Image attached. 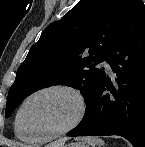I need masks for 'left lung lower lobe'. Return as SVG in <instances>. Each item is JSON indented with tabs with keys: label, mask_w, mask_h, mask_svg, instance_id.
Masks as SVG:
<instances>
[{
	"label": "left lung lower lobe",
	"mask_w": 145,
	"mask_h": 147,
	"mask_svg": "<svg viewBox=\"0 0 145 147\" xmlns=\"http://www.w3.org/2000/svg\"><path fill=\"white\" fill-rule=\"evenodd\" d=\"M106 60L116 73L113 82L104 75L82 121L67 136L119 135L134 147H145V5L141 0H131Z\"/></svg>",
	"instance_id": "left-lung-lower-lobe-1"
}]
</instances>
